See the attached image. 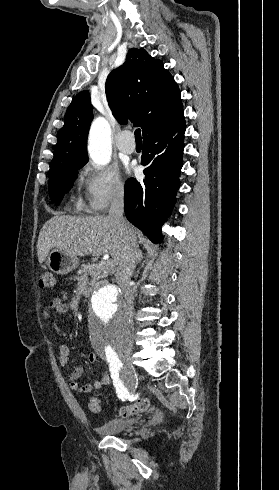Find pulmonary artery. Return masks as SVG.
Returning <instances> with one entry per match:
<instances>
[{"instance_id": "e3ab8cb5", "label": "pulmonary artery", "mask_w": 279, "mask_h": 490, "mask_svg": "<svg viewBox=\"0 0 279 490\" xmlns=\"http://www.w3.org/2000/svg\"><path fill=\"white\" fill-rule=\"evenodd\" d=\"M120 137H115L114 144L119 146V150L125 154H132L135 152V146L137 144L136 137H129L131 131L129 128H120L118 131Z\"/></svg>"}]
</instances>
